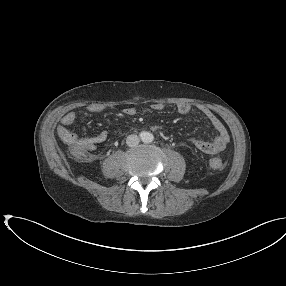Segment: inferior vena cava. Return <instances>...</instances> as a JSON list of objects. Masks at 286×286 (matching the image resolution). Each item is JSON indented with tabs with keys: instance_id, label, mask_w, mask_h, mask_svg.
Listing matches in <instances>:
<instances>
[{
	"instance_id": "1",
	"label": "inferior vena cava",
	"mask_w": 286,
	"mask_h": 286,
	"mask_svg": "<svg viewBox=\"0 0 286 286\" xmlns=\"http://www.w3.org/2000/svg\"><path fill=\"white\" fill-rule=\"evenodd\" d=\"M140 142V139L137 135H129L126 139V144L129 146V147H134V146H137Z\"/></svg>"
}]
</instances>
